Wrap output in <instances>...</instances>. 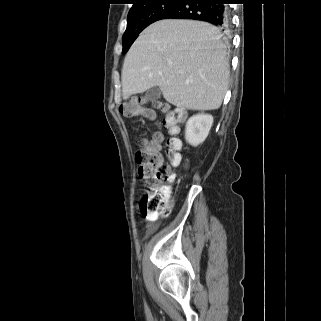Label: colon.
<instances>
[{"label": "colon", "mask_w": 321, "mask_h": 321, "mask_svg": "<svg viewBox=\"0 0 321 321\" xmlns=\"http://www.w3.org/2000/svg\"><path fill=\"white\" fill-rule=\"evenodd\" d=\"M156 107L163 114V125L172 134L179 130V124L184 119L181 110L173 109L164 103H156ZM120 111L124 116H141L151 118L153 116L142 99L132 98L123 103ZM160 136L156 135L152 140L143 139L140 141V149L136 153L138 173L146 182V190L139 203L140 214L144 218L168 216L172 210V193L170 188L164 183L168 164L159 153ZM166 157L168 163L178 166L181 163L180 151L181 141L178 138H170L167 141Z\"/></svg>", "instance_id": "obj_1"}]
</instances>
